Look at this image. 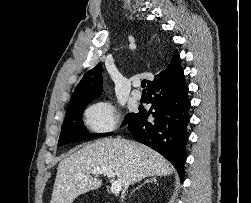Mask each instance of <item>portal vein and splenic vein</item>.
Masks as SVG:
<instances>
[{
    "instance_id": "portal-vein-and-splenic-vein-1",
    "label": "portal vein and splenic vein",
    "mask_w": 251,
    "mask_h": 203,
    "mask_svg": "<svg viewBox=\"0 0 251 203\" xmlns=\"http://www.w3.org/2000/svg\"><path fill=\"white\" fill-rule=\"evenodd\" d=\"M91 173L93 175L104 174L108 178L112 179L111 192L113 194H119L122 187H121V184H120L119 181H114L113 180L115 174H114V171L111 168H107V167L95 168V169H93L91 171ZM81 176L84 177V175H81Z\"/></svg>"
}]
</instances>
